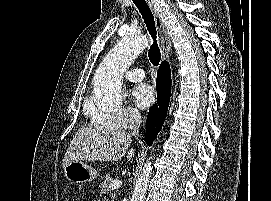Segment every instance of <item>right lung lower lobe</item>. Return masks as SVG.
Returning a JSON list of instances; mask_svg holds the SVG:
<instances>
[{
    "label": "right lung lower lobe",
    "mask_w": 271,
    "mask_h": 201,
    "mask_svg": "<svg viewBox=\"0 0 271 201\" xmlns=\"http://www.w3.org/2000/svg\"><path fill=\"white\" fill-rule=\"evenodd\" d=\"M157 105L149 110L146 121V143L152 145L164 123L171 91V72L168 62L163 61L157 73Z\"/></svg>",
    "instance_id": "1"
}]
</instances>
